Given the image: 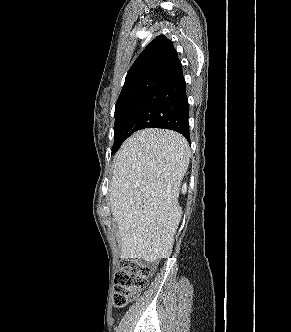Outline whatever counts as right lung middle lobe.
Segmentation results:
<instances>
[{
  "instance_id": "1",
  "label": "right lung middle lobe",
  "mask_w": 291,
  "mask_h": 332,
  "mask_svg": "<svg viewBox=\"0 0 291 332\" xmlns=\"http://www.w3.org/2000/svg\"><path fill=\"white\" fill-rule=\"evenodd\" d=\"M148 93L149 92H141L117 100L115 105L114 144L112 147V153H115L127 138L124 134V128L135 107Z\"/></svg>"
}]
</instances>
